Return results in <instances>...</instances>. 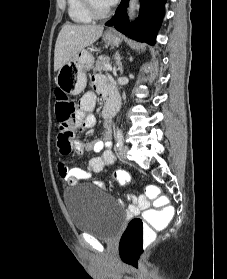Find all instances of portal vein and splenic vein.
Instances as JSON below:
<instances>
[{
    "label": "portal vein and splenic vein",
    "instance_id": "obj_1",
    "mask_svg": "<svg viewBox=\"0 0 227 279\" xmlns=\"http://www.w3.org/2000/svg\"><path fill=\"white\" fill-rule=\"evenodd\" d=\"M105 69L108 71H112V66L110 64H106Z\"/></svg>",
    "mask_w": 227,
    "mask_h": 279
}]
</instances>
